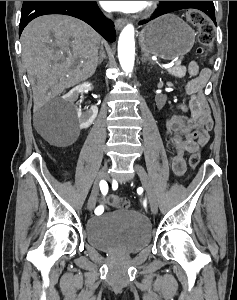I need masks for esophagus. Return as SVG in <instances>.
I'll return each instance as SVG.
<instances>
[{"mask_svg": "<svg viewBox=\"0 0 237 300\" xmlns=\"http://www.w3.org/2000/svg\"><path fill=\"white\" fill-rule=\"evenodd\" d=\"M125 20L124 19H116V21H115V28L117 29V30H120L124 25H125Z\"/></svg>", "mask_w": 237, "mask_h": 300, "instance_id": "obj_1", "label": "esophagus"}]
</instances>
